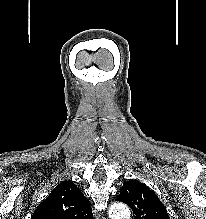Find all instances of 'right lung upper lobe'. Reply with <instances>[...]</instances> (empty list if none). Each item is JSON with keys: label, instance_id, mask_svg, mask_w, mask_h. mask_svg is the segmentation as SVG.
<instances>
[{"label": "right lung upper lobe", "instance_id": "right-lung-upper-lobe-1", "mask_svg": "<svg viewBox=\"0 0 206 219\" xmlns=\"http://www.w3.org/2000/svg\"><path fill=\"white\" fill-rule=\"evenodd\" d=\"M31 219H93L89 201L71 181L57 185Z\"/></svg>", "mask_w": 206, "mask_h": 219}]
</instances>
